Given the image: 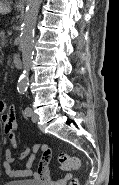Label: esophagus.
Here are the masks:
<instances>
[{"label":"esophagus","instance_id":"esophagus-1","mask_svg":"<svg viewBox=\"0 0 119 185\" xmlns=\"http://www.w3.org/2000/svg\"><path fill=\"white\" fill-rule=\"evenodd\" d=\"M25 0H18V4H23Z\"/></svg>","mask_w":119,"mask_h":185}]
</instances>
